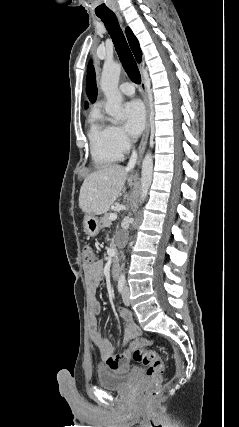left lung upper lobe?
<instances>
[{
  "instance_id": "1",
  "label": "left lung upper lobe",
  "mask_w": 239,
  "mask_h": 427,
  "mask_svg": "<svg viewBox=\"0 0 239 427\" xmlns=\"http://www.w3.org/2000/svg\"><path fill=\"white\" fill-rule=\"evenodd\" d=\"M86 93L90 102H95L97 98V86L95 81V71L93 65L89 64L87 69V77H86ZM85 108H88V103H86Z\"/></svg>"
}]
</instances>
